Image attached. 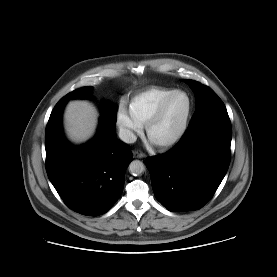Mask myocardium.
I'll list each match as a JSON object with an SVG mask.
<instances>
[{
	"mask_svg": "<svg viewBox=\"0 0 277 277\" xmlns=\"http://www.w3.org/2000/svg\"><path fill=\"white\" fill-rule=\"evenodd\" d=\"M178 94H183L187 97L188 100V109H187V113L185 116V119L180 127V129L178 130V132L171 137L170 139L163 141V142H159V143H155V145L161 149H165V148H169L173 145H175L176 143H178L183 136L185 135L188 127H189V123L191 120V116H192V111H193V101L191 96L189 95V93H187L184 90H174L172 93H170L169 95H167L156 107V109L154 110V112L152 113V115L149 117V119L147 120L146 124H145V130H146V134L147 136L150 138V133H151V129L152 127L155 125V123L160 119L165 107L167 106V104L170 102V100L178 95Z\"/></svg>",
	"mask_w": 277,
	"mask_h": 277,
	"instance_id": "obj_1",
	"label": "myocardium"
}]
</instances>
